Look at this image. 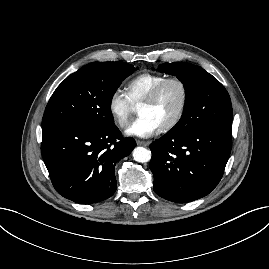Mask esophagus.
I'll return each instance as SVG.
<instances>
[{
    "label": "esophagus",
    "mask_w": 269,
    "mask_h": 269,
    "mask_svg": "<svg viewBox=\"0 0 269 269\" xmlns=\"http://www.w3.org/2000/svg\"><path fill=\"white\" fill-rule=\"evenodd\" d=\"M136 143L139 146H147L149 144L148 142L142 140H137Z\"/></svg>",
    "instance_id": "esophagus-1"
}]
</instances>
